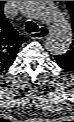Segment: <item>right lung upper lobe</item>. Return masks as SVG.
Here are the masks:
<instances>
[{"label":"right lung upper lobe","instance_id":"cb5924a9","mask_svg":"<svg viewBox=\"0 0 74 122\" xmlns=\"http://www.w3.org/2000/svg\"><path fill=\"white\" fill-rule=\"evenodd\" d=\"M5 1H0V72L12 65L19 46L27 39L12 27L4 16L3 7Z\"/></svg>","mask_w":74,"mask_h":122}]
</instances>
